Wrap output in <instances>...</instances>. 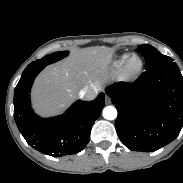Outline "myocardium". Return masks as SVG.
I'll return each instance as SVG.
<instances>
[{
    "label": "myocardium",
    "mask_w": 183,
    "mask_h": 183,
    "mask_svg": "<svg viewBox=\"0 0 183 183\" xmlns=\"http://www.w3.org/2000/svg\"><path fill=\"white\" fill-rule=\"evenodd\" d=\"M142 69V58L137 53H132L126 59L122 74L126 80H133L141 74Z\"/></svg>",
    "instance_id": "myocardium-1"
}]
</instances>
